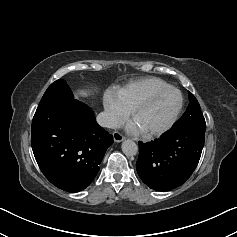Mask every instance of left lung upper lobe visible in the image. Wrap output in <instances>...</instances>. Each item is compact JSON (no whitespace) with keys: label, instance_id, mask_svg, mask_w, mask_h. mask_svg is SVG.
Segmentation results:
<instances>
[{"label":"left lung upper lobe","instance_id":"obj_1","mask_svg":"<svg viewBox=\"0 0 237 237\" xmlns=\"http://www.w3.org/2000/svg\"><path fill=\"white\" fill-rule=\"evenodd\" d=\"M190 104L181 119L173 126V129L182 128H206L204 116L197 99L188 92Z\"/></svg>","mask_w":237,"mask_h":237}]
</instances>
